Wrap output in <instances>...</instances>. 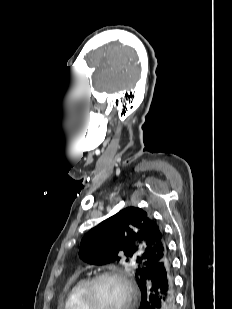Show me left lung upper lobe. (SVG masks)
<instances>
[{
    "mask_svg": "<svg viewBox=\"0 0 232 309\" xmlns=\"http://www.w3.org/2000/svg\"><path fill=\"white\" fill-rule=\"evenodd\" d=\"M80 257L94 265L120 261L135 266L138 286L148 270L168 254L161 226L144 210L127 207L92 228L82 239Z\"/></svg>",
    "mask_w": 232,
    "mask_h": 309,
    "instance_id": "left-lung-upper-lobe-1",
    "label": "left lung upper lobe"
}]
</instances>
